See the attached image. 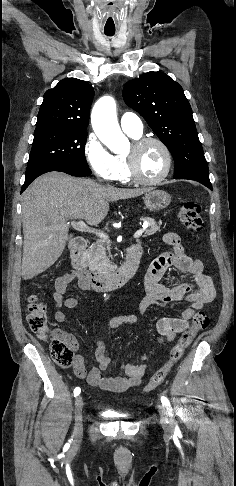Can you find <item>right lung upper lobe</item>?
Instances as JSON below:
<instances>
[{
  "mask_svg": "<svg viewBox=\"0 0 236 486\" xmlns=\"http://www.w3.org/2000/svg\"><path fill=\"white\" fill-rule=\"evenodd\" d=\"M93 88L76 78L61 80L44 94L36 128L57 127L69 130H86Z\"/></svg>",
  "mask_w": 236,
  "mask_h": 486,
  "instance_id": "cb5924a9",
  "label": "right lung upper lobe"
}]
</instances>
